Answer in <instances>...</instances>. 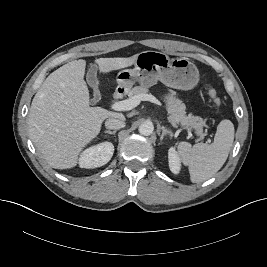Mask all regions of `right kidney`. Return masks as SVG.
<instances>
[{
	"instance_id": "right-kidney-1",
	"label": "right kidney",
	"mask_w": 267,
	"mask_h": 267,
	"mask_svg": "<svg viewBox=\"0 0 267 267\" xmlns=\"http://www.w3.org/2000/svg\"><path fill=\"white\" fill-rule=\"evenodd\" d=\"M114 153V146L111 142H102L89 147L82 152L79 158L81 168H97L107 164Z\"/></svg>"
}]
</instances>
